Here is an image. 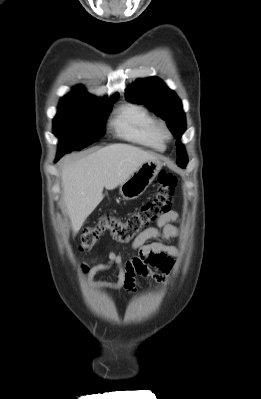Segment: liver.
<instances>
[{"label": "liver", "instance_id": "1", "mask_svg": "<svg viewBox=\"0 0 261 399\" xmlns=\"http://www.w3.org/2000/svg\"><path fill=\"white\" fill-rule=\"evenodd\" d=\"M157 156L128 144H112L75 161L65 159L61 180L64 203L76 235L103 200L104 187L115 189L146 161Z\"/></svg>", "mask_w": 261, "mask_h": 399}]
</instances>
